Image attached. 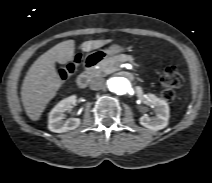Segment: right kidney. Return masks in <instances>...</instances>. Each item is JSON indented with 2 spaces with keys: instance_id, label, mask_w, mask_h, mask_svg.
Wrapping results in <instances>:
<instances>
[{
  "instance_id": "obj_1",
  "label": "right kidney",
  "mask_w": 212,
  "mask_h": 183,
  "mask_svg": "<svg viewBox=\"0 0 212 183\" xmlns=\"http://www.w3.org/2000/svg\"><path fill=\"white\" fill-rule=\"evenodd\" d=\"M76 102V96L72 95L60 101L49 113L48 129L55 133L67 132L76 129L81 121L79 118L64 120V112Z\"/></svg>"
}]
</instances>
